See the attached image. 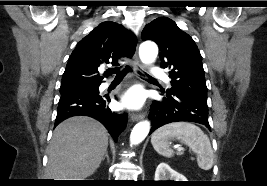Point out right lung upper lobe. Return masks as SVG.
Listing matches in <instances>:
<instances>
[{
  "label": "right lung upper lobe",
  "mask_w": 267,
  "mask_h": 186,
  "mask_svg": "<svg viewBox=\"0 0 267 186\" xmlns=\"http://www.w3.org/2000/svg\"><path fill=\"white\" fill-rule=\"evenodd\" d=\"M137 39L122 25L102 22L85 36L68 59L61 85L101 84L104 77L98 67L111 63L118 66V60L131 58L135 52ZM110 73L105 72L106 76Z\"/></svg>",
  "instance_id": "1"
}]
</instances>
